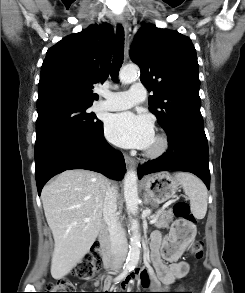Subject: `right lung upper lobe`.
<instances>
[{
    "label": "right lung upper lobe",
    "mask_w": 245,
    "mask_h": 293,
    "mask_svg": "<svg viewBox=\"0 0 245 293\" xmlns=\"http://www.w3.org/2000/svg\"><path fill=\"white\" fill-rule=\"evenodd\" d=\"M114 41L110 25H91L51 47L43 61L37 108L69 103L92 105L95 84L109 76Z\"/></svg>",
    "instance_id": "obj_1"
}]
</instances>
